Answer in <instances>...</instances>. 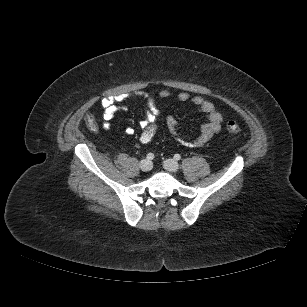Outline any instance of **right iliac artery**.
<instances>
[{"instance_id":"1","label":"right iliac artery","mask_w":307,"mask_h":307,"mask_svg":"<svg viewBox=\"0 0 307 307\" xmlns=\"http://www.w3.org/2000/svg\"><path fill=\"white\" fill-rule=\"evenodd\" d=\"M146 158H147V160H153L154 159V154L153 153H148Z\"/></svg>"}]
</instances>
